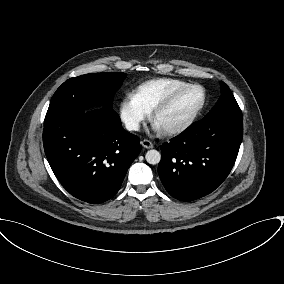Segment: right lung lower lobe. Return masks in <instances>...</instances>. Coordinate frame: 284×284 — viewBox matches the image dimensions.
<instances>
[{"instance_id": "98d812e1", "label": "right lung lower lobe", "mask_w": 284, "mask_h": 284, "mask_svg": "<svg viewBox=\"0 0 284 284\" xmlns=\"http://www.w3.org/2000/svg\"><path fill=\"white\" fill-rule=\"evenodd\" d=\"M48 162L62 186L88 203H102L120 189L140 153L139 138L121 126L113 108L67 113L44 126Z\"/></svg>"}]
</instances>
